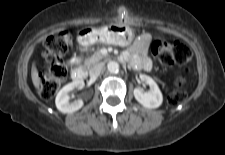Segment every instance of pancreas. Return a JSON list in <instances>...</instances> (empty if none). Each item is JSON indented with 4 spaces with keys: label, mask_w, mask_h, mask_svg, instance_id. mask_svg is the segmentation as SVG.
I'll return each instance as SVG.
<instances>
[{
    "label": "pancreas",
    "mask_w": 225,
    "mask_h": 155,
    "mask_svg": "<svg viewBox=\"0 0 225 155\" xmlns=\"http://www.w3.org/2000/svg\"><path fill=\"white\" fill-rule=\"evenodd\" d=\"M103 58H105V56L102 55L101 52L98 50L90 58L85 60V65L89 67V66L99 62Z\"/></svg>",
    "instance_id": "pancreas-1"
}]
</instances>
